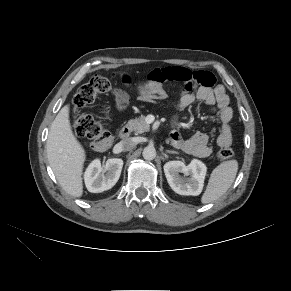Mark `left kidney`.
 Segmentation results:
<instances>
[{"label":"left kidney","instance_id":"obj_1","mask_svg":"<svg viewBox=\"0 0 291 291\" xmlns=\"http://www.w3.org/2000/svg\"><path fill=\"white\" fill-rule=\"evenodd\" d=\"M207 168L199 160H192L189 165L181 161H169L164 165V173L168 184L180 195L197 196L202 192ZM183 173L189 178L180 176Z\"/></svg>","mask_w":291,"mask_h":291}]
</instances>
